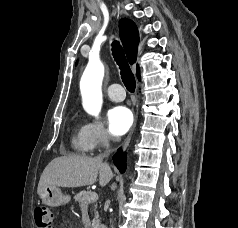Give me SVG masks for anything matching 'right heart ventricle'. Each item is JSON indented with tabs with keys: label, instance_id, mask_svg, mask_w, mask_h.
Returning a JSON list of instances; mask_svg holds the SVG:
<instances>
[{
	"label": "right heart ventricle",
	"instance_id": "e07e8e85",
	"mask_svg": "<svg viewBox=\"0 0 238 228\" xmlns=\"http://www.w3.org/2000/svg\"><path fill=\"white\" fill-rule=\"evenodd\" d=\"M73 148L81 153L90 151L87 141L83 134V126L76 125L75 134L72 138Z\"/></svg>",
	"mask_w": 238,
	"mask_h": 228
}]
</instances>
